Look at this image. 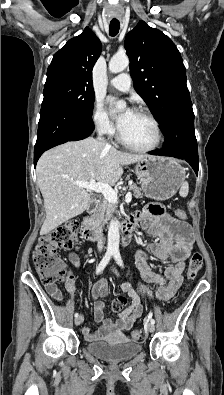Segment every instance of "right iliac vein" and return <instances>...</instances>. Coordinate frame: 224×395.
<instances>
[{
  "instance_id": "63e3f726",
  "label": "right iliac vein",
  "mask_w": 224,
  "mask_h": 395,
  "mask_svg": "<svg viewBox=\"0 0 224 395\" xmlns=\"http://www.w3.org/2000/svg\"><path fill=\"white\" fill-rule=\"evenodd\" d=\"M82 321H83V316H79L75 319L74 322H75V325L78 326L82 323Z\"/></svg>"
}]
</instances>
